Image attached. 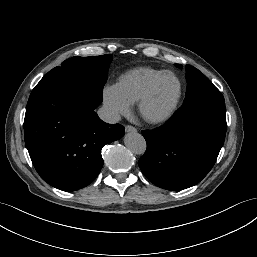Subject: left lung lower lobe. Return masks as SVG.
<instances>
[{"label": "left lung lower lobe", "instance_id": "obj_1", "mask_svg": "<svg viewBox=\"0 0 257 257\" xmlns=\"http://www.w3.org/2000/svg\"><path fill=\"white\" fill-rule=\"evenodd\" d=\"M226 128L224 100L180 107L163 126L142 131L147 150L138 161L139 167L158 187H191L215 164Z\"/></svg>", "mask_w": 257, "mask_h": 257}]
</instances>
